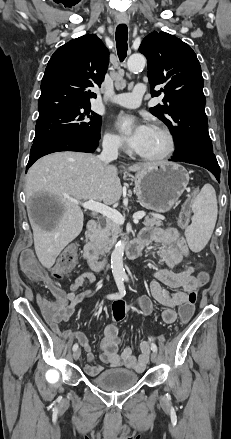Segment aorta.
Here are the masks:
<instances>
[{
	"mask_svg": "<svg viewBox=\"0 0 231 439\" xmlns=\"http://www.w3.org/2000/svg\"><path fill=\"white\" fill-rule=\"evenodd\" d=\"M146 59L141 54H133L127 61L128 69L132 72L142 70L145 67ZM125 241H119L111 255V268L114 278L126 277L125 269L123 266V256L125 250Z\"/></svg>",
	"mask_w": 231,
	"mask_h": 439,
	"instance_id": "1",
	"label": "aorta"
}]
</instances>
